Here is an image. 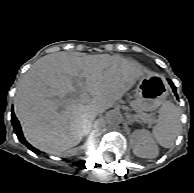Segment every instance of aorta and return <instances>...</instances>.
Returning <instances> with one entry per match:
<instances>
[{
	"label": "aorta",
	"instance_id": "762f6f07",
	"mask_svg": "<svg viewBox=\"0 0 194 193\" xmlns=\"http://www.w3.org/2000/svg\"><path fill=\"white\" fill-rule=\"evenodd\" d=\"M105 119L109 124H118L121 121V115L119 112L112 110L106 114Z\"/></svg>",
	"mask_w": 194,
	"mask_h": 193
}]
</instances>
